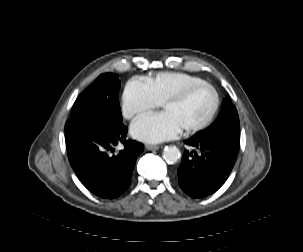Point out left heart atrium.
Wrapping results in <instances>:
<instances>
[{
  "mask_svg": "<svg viewBox=\"0 0 303 252\" xmlns=\"http://www.w3.org/2000/svg\"><path fill=\"white\" fill-rule=\"evenodd\" d=\"M135 131L139 138L152 142L171 139L179 132L176 122L168 114H156L143 118L136 124Z\"/></svg>",
  "mask_w": 303,
  "mask_h": 252,
  "instance_id": "1",
  "label": "left heart atrium"
}]
</instances>
